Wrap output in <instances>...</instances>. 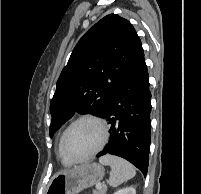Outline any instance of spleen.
<instances>
[{"label": "spleen", "instance_id": "spleen-1", "mask_svg": "<svg viewBox=\"0 0 201 194\" xmlns=\"http://www.w3.org/2000/svg\"><path fill=\"white\" fill-rule=\"evenodd\" d=\"M99 162L111 167L109 185L112 187L121 185L123 182L133 178L136 174L133 165L116 156L105 155L99 159Z\"/></svg>", "mask_w": 201, "mask_h": 194}]
</instances>
